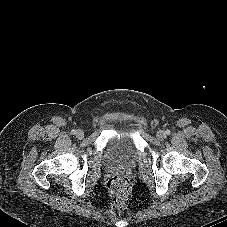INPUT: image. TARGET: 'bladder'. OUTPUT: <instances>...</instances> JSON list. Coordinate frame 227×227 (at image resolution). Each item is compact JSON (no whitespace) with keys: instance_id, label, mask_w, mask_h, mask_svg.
Here are the masks:
<instances>
[{"instance_id":"31cf9c89","label":"bladder","mask_w":227,"mask_h":227,"mask_svg":"<svg viewBox=\"0 0 227 227\" xmlns=\"http://www.w3.org/2000/svg\"><path fill=\"white\" fill-rule=\"evenodd\" d=\"M118 135L110 142L107 148L109 159L120 163H130L135 159V148L124 123L119 124Z\"/></svg>"}]
</instances>
